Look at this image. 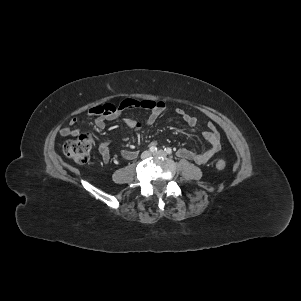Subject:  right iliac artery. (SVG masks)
<instances>
[{
    "label": "right iliac artery",
    "mask_w": 301,
    "mask_h": 301,
    "mask_svg": "<svg viewBox=\"0 0 301 301\" xmlns=\"http://www.w3.org/2000/svg\"><path fill=\"white\" fill-rule=\"evenodd\" d=\"M150 151H151L152 153H155V152L157 151V148H156L155 146H151V147H150Z\"/></svg>",
    "instance_id": "obj_1"
}]
</instances>
